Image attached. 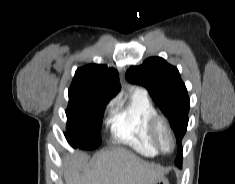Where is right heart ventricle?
<instances>
[{
    "label": "right heart ventricle",
    "instance_id": "1",
    "mask_svg": "<svg viewBox=\"0 0 235 184\" xmlns=\"http://www.w3.org/2000/svg\"><path fill=\"white\" fill-rule=\"evenodd\" d=\"M157 115L156 109L147 95L134 93L123 105L112 110L110 115L111 132L115 141L124 144L145 156L158 154L151 134L150 122ZM115 160H125L127 152L115 151L111 154Z\"/></svg>",
    "mask_w": 235,
    "mask_h": 184
}]
</instances>
